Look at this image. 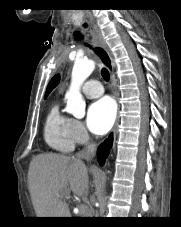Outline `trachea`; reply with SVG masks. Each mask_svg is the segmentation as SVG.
I'll list each match as a JSON object with an SVG mask.
<instances>
[{"mask_svg":"<svg viewBox=\"0 0 181 227\" xmlns=\"http://www.w3.org/2000/svg\"><path fill=\"white\" fill-rule=\"evenodd\" d=\"M104 52V51H103ZM105 53V52H104ZM106 54V53H105ZM101 75L104 78L105 81H108L110 79L109 72L106 68H103L101 71Z\"/></svg>","mask_w":181,"mask_h":227,"instance_id":"3493384b","label":"trachea"}]
</instances>
